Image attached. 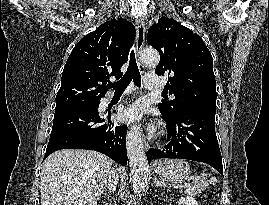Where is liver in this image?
Wrapping results in <instances>:
<instances>
[{
    "label": "liver",
    "instance_id": "1",
    "mask_svg": "<svg viewBox=\"0 0 269 205\" xmlns=\"http://www.w3.org/2000/svg\"><path fill=\"white\" fill-rule=\"evenodd\" d=\"M111 166L112 161L96 151L65 149L51 154L41 172V205H96Z\"/></svg>",
    "mask_w": 269,
    "mask_h": 205
}]
</instances>
